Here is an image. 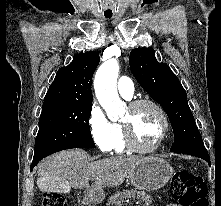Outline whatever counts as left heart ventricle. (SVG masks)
<instances>
[{"label":"left heart ventricle","mask_w":221,"mask_h":206,"mask_svg":"<svg viewBox=\"0 0 221 206\" xmlns=\"http://www.w3.org/2000/svg\"><path fill=\"white\" fill-rule=\"evenodd\" d=\"M122 122L131 126L134 137L141 147L154 145L159 139L163 127L159 114L149 105H144L134 111L128 108Z\"/></svg>","instance_id":"obj_1"}]
</instances>
